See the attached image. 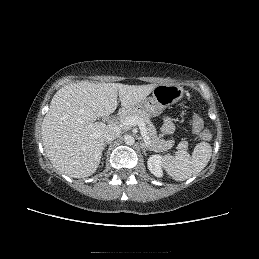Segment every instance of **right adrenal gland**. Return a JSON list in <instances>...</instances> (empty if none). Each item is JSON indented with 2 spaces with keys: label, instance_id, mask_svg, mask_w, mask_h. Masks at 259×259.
<instances>
[{
  "label": "right adrenal gland",
  "instance_id": "right-adrenal-gland-1",
  "mask_svg": "<svg viewBox=\"0 0 259 259\" xmlns=\"http://www.w3.org/2000/svg\"><path fill=\"white\" fill-rule=\"evenodd\" d=\"M107 144H110V142H105V143H104L103 150L105 149V147H106Z\"/></svg>",
  "mask_w": 259,
  "mask_h": 259
}]
</instances>
